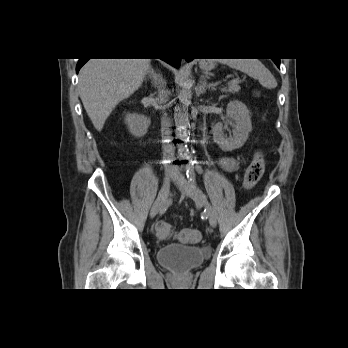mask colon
Here are the masks:
<instances>
[{"label":"colon","mask_w":348,"mask_h":348,"mask_svg":"<svg viewBox=\"0 0 348 348\" xmlns=\"http://www.w3.org/2000/svg\"><path fill=\"white\" fill-rule=\"evenodd\" d=\"M266 162L263 153L258 150L255 152L251 163L245 170V188L254 187L265 172ZM156 236L161 240L170 239L173 235L172 226L167 222H159L155 228ZM177 238L183 243H197L201 235L197 230L184 228L177 233Z\"/></svg>","instance_id":"obj_1"}]
</instances>
